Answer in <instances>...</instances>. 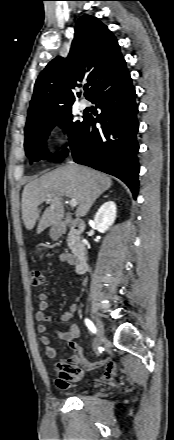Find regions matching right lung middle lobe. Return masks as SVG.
<instances>
[{
  "label": "right lung middle lobe",
  "instance_id": "dd1d6c3e",
  "mask_svg": "<svg viewBox=\"0 0 174 440\" xmlns=\"http://www.w3.org/2000/svg\"><path fill=\"white\" fill-rule=\"evenodd\" d=\"M55 125L62 127L65 132H68L69 145H71L79 135L83 126V121L73 122L71 109H68L59 115L26 130L24 143L25 152L31 160L39 161L40 159H48L50 161H61L66 157L68 149L59 154L52 155L45 148V141L51 128Z\"/></svg>",
  "mask_w": 174,
  "mask_h": 440
}]
</instances>
